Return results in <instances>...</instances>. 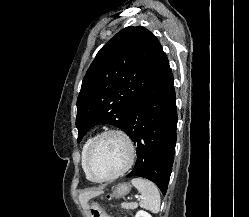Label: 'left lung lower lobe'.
Returning a JSON list of instances; mask_svg holds the SVG:
<instances>
[{
  "mask_svg": "<svg viewBox=\"0 0 249 217\" xmlns=\"http://www.w3.org/2000/svg\"><path fill=\"white\" fill-rule=\"evenodd\" d=\"M176 97L169 62L135 103L125 132L137 143V161L127 176L154 182L165 195L176 144Z\"/></svg>",
  "mask_w": 249,
  "mask_h": 217,
  "instance_id": "1",
  "label": "left lung lower lobe"
}]
</instances>
